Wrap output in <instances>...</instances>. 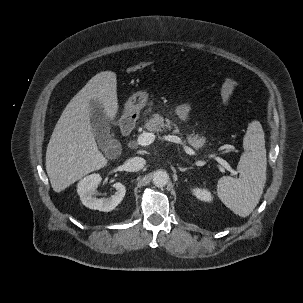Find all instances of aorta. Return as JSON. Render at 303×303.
Segmentation results:
<instances>
[{
    "label": "aorta",
    "mask_w": 303,
    "mask_h": 303,
    "mask_svg": "<svg viewBox=\"0 0 303 303\" xmlns=\"http://www.w3.org/2000/svg\"><path fill=\"white\" fill-rule=\"evenodd\" d=\"M152 181L156 187H164L169 181V175L164 170H157L153 174Z\"/></svg>",
    "instance_id": "obj_1"
}]
</instances>
